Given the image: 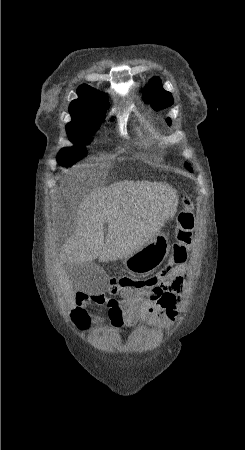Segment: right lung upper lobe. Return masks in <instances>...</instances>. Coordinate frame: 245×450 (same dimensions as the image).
<instances>
[{"mask_svg":"<svg viewBox=\"0 0 245 450\" xmlns=\"http://www.w3.org/2000/svg\"><path fill=\"white\" fill-rule=\"evenodd\" d=\"M78 99L70 103L71 116H76L80 111L95 106L106 105L105 97L91 86L83 84L77 89Z\"/></svg>","mask_w":245,"mask_h":450,"instance_id":"cb5924a9","label":"right lung upper lobe"}]
</instances>
